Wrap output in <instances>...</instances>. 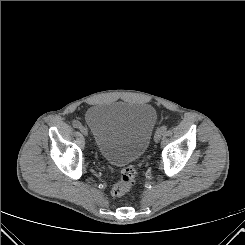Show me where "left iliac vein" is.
I'll return each instance as SVG.
<instances>
[{"label": "left iliac vein", "instance_id": "1", "mask_svg": "<svg viewBox=\"0 0 245 245\" xmlns=\"http://www.w3.org/2000/svg\"><path fill=\"white\" fill-rule=\"evenodd\" d=\"M162 133L160 131H157L154 135V141L158 143L161 139Z\"/></svg>", "mask_w": 245, "mask_h": 245}]
</instances>
